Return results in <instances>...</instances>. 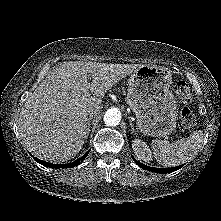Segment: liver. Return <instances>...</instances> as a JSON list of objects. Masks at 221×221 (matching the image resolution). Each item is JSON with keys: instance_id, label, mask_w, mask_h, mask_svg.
<instances>
[{"instance_id": "6515ba94", "label": "liver", "mask_w": 221, "mask_h": 221, "mask_svg": "<svg viewBox=\"0 0 221 221\" xmlns=\"http://www.w3.org/2000/svg\"><path fill=\"white\" fill-rule=\"evenodd\" d=\"M141 66L70 61L54 68L21 109L18 125L27 149L49 162L74 158L86 139L88 109H101L105 93Z\"/></svg>"}]
</instances>
